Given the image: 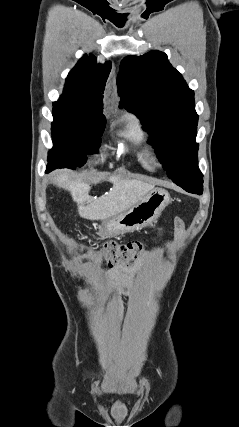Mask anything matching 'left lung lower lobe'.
Listing matches in <instances>:
<instances>
[{"instance_id":"1","label":"left lung lower lobe","mask_w":239,"mask_h":427,"mask_svg":"<svg viewBox=\"0 0 239 427\" xmlns=\"http://www.w3.org/2000/svg\"><path fill=\"white\" fill-rule=\"evenodd\" d=\"M203 181L197 184H193L191 186H180L182 187L185 191L189 192V193H194V194H198L201 195L203 193Z\"/></svg>"}]
</instances>
